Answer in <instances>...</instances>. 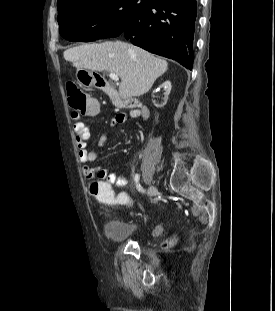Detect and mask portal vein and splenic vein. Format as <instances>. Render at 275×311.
Returning <instances> with one entry per match:
<instances>
[{
  "label": "portal vein and splenic vein",
  "mask_w": 275,
  "mask_h": 311,
  "mask_svg": "<svg viewBox=\"0 0 275 311\" xmlns=\"http://www.w3.org/2000/svg\"><path fill=\"white\" fill-rule=\"evenodd\" d=\"M109 77L113 80V81H119V76L115 73H110Z\"/></svg>",
  "instance_id": "18ae733b"
}]
</instances>
